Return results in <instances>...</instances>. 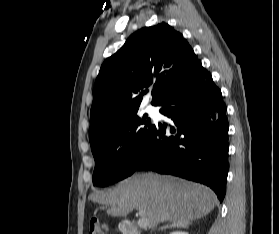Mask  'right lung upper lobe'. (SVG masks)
I'll list each match as a JSON object with an SVG mask.
<instances>
[{
  "label": "right lung upper lobe",
  "instance_id": "1",
  "mask_svg": "<svg viewBox=\"0 0 279 234\" xmlns=\"http://www.w3.org/2000/svg\"><path fill=\"white\" fill-rule=\"evenodd\" d=\"M200 63L182 34L166 23L144 27L101 66L90 111V144L109 135L138 112L153 87L160 105Z\"/></svg>",
  "mask_w": 279,
  "mask_h": 234
}]
</instances>
